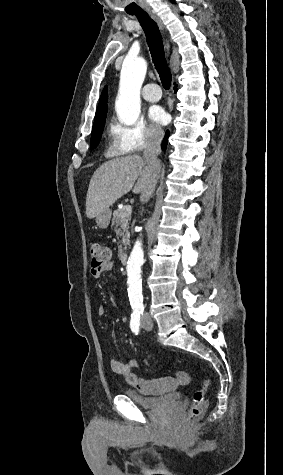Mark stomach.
Returning a JSON list of instances; mask_svg holds the SVG:
<instances>
[{
  "instance_id": "1",
  "label": "stomach",
  "mask_w": 283,
  "mask_h": 475,
  "mask_svg": "<svg viewBox=\"0 0 283 475\" xmlns=\"http://www.w3.org/2000/svg\"><path fill=\"white\" fill-rule=\"evenodd\" d=\"M112 216V210H102L98 216H95L96 224L99 228H108Z\"/></svg>"
}]
</instances>
